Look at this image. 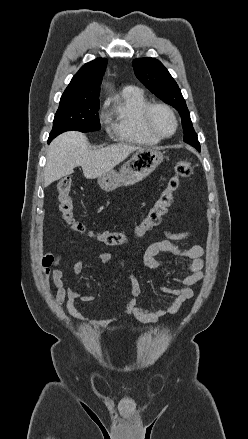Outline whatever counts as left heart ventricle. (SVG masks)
I'll list each match as a JSON object with an SVG mask.
<instances>
[{
    "instance_id": "b2bd125f",
    "label": "left heart ventricle",
    "mask_w": 248,
    "mask_h": 439,
    "mask_svg": "<svg viewBox=\"0 0 248 439\" xmlns=\"http://www.w3.org/2000/svg\"><path fill=\"white\" fill-rule=\"evenodd\" d=\"M152 122L154 127L162 134H170L173 131V119L163 108H156L153 110Z\"/></svg>"
}]
</instances>
